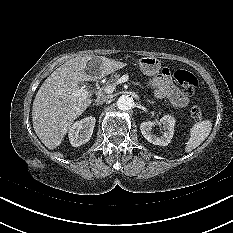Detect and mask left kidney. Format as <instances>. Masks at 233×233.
I'll return each instance as SVG.
<instances>
[{"mask_svg":"<svg viewBox=\"0 0 233 233\" xmlns=\"http://www.w3.org/2000/svg\"><path fill=\"white\" fill-rule=\"evenodd\" d=\"M160 123L164 127V133L160 137H157L152 133V129L156 124L153 121L142 122L140 130L148 142L154 145L166 146L170 143L174 134L175 118L171 115H165L160 119Z\"/></svg>","mask_w":233,"mask_h":233,"instance_id":"1","label":"left kidney"}]
</instances>
